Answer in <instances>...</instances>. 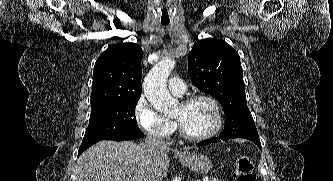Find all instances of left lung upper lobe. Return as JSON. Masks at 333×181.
Masks as SVG:
<instances>
[{
  "label": "left lung upper lobe",
  "mask_w": 333,
  "mask_h": 181,
  "mask_svg": "<svg viewBox=\"0 0 333 181\" xmlns=\"http://www.w3.org/2000/svg\"><path fill=\"white\" fill-rule=\"evenodd\" d=\"M188 72L193 84L213 95L223 106L224 133L260 142L248 109L238 52L223 40H199L188 55Z\"/></svg>",
  "instance_id": "left-lung-upper-lobe-1"
}]
</instances>
